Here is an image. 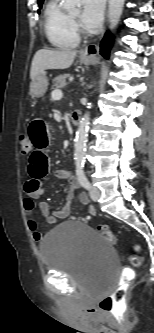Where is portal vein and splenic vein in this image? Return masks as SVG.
<instances>
[{"mask_svg": "<svg viewBox=\"0 0 154 333\" xmlns=\"http://www.w3.org/2000/svg\"><path fill=\"white\" fill-rule=\"evenodd\" d=\"M52 97L55 99H61L63 97V93L60 89H56L52 92Z\"/></svg>", "mask_w": 154, "mask_h": 333, "instance_id": "1", "label": "portal vein and splenic vein"}]
</instances>
